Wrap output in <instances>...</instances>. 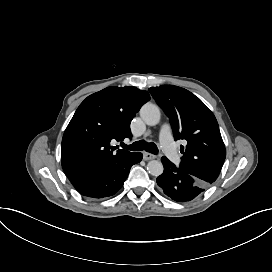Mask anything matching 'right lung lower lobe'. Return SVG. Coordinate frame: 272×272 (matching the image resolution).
<instances>
[{"mask_svg": "<svg viewBox=\"0 0 272 272\" xmlns=\"http://www.w3.org/2000/svg\"><path fill=\"white\" fill-rule=\"evenodd\" d=\"M141 160V153L132 152L106 167L76 176L70 181L85 197L106 198L116 194L122 188L132 165Z\"/></svg>", "mask_w": 272, "mask_h": 272, "instance_id": "98d812e1", "label": "right lung lower lobe"}]
</instances>
